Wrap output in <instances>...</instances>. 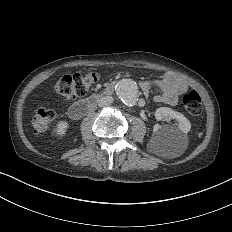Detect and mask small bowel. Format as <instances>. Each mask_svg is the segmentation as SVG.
Instances as JSON below:
<instances>
[{"instance_id":"c3829d8e","label":"small bowel","mask_w":232,"mask_h":232,"mask_svg":"<svg viewBox=\"0 0 232 232\" xmlns=\"http://www.w3.org/2000/svg\"><path fill=\"white\" fill-rule=\"evenodd\" d=\"M157 85L161 89V94L157 96V100L167 103H176L179 96L187 89V83L185 81L171 74L165 75L157 82ZM151 88L152 83L150 81L143 80L140 82V89L144 95L149 94Z\"/></svg>"}]
</instances>
